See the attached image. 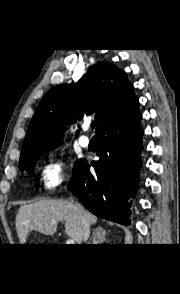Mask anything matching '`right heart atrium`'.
Returning a JSON list of instances; mask_svg holds the SVG:
<instances>
[{
	"label": "right heart atrium",
	"mask_w": 180,
	"mask_h": 294,
	"mask_svg": "<svg viewBox=\"0 0 180 294\" xmlns=\"http://www.w3.org/2000/svg\"><path fill=\"white\" fill-rule=\"evenodd\" d=\"M67 161L62 156L52 155L40 168V180L46 191L61 185L66 177Z\"/></svg>",
	"instance_id": "1"
}]
</instances>
